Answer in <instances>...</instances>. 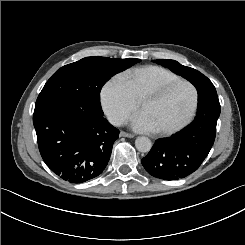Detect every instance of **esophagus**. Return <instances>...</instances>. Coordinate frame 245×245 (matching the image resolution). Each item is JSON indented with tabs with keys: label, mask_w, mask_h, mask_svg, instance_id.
<instances>
[{
	"label": "esophagus",
	"mask_w": 245,
	"mask_h": 245,
	"mask_svg": "<svg viewBox=\"0 0 245 245\" xmlns=\"http://www.w3.org/2000/svg\"><path fill=\"white\" fill-rule=\"evenodd\" d=\"M120 136L127 137V138H134V134H130V133L123 132V131L120 132Z\"/></svg>",
	"instance_id": "1"
}]
</instances>
